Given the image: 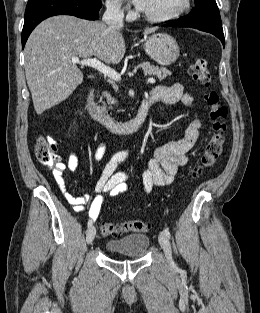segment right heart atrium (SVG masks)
Wrapping results in <instances>:
<instances>
[{
  "instance_id": "1",
  "label": "right heart atrium",
  "mask_w": 260,
  "mask_h": 313,
  "mask_svg": "<svg viewBox=\"0 0 260 313\" xmlns=\"http://www.w3.org/2000/svg\"><path fill=\"white\" fill-rule=\"evenodd\" d=\"M106 7L110 14L121 15L126 10L124 0H106Z\"/></svg>"
}]
</instances>
